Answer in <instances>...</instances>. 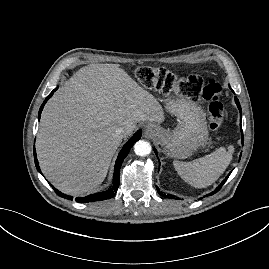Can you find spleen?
Listing matches in <instances>:
<instances>
[{"label":"spleen","mask_w":269,"mask_h":269,"mask_svg":"<svg viewBox=\"0 0 269 269\" xmlns=\"http://www.w3.org/2000/svg\"><path fill=\"white\" fill-rule=\"evenodd\" d=\"M234 147L218 148L216 151L191 162L173 161L180 177L195 188H205L213 184L229 166Z\"/></svg>","instance_id":"3e777b00"}]
</instances>
